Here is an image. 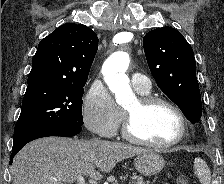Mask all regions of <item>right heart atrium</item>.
I'll return each mask as SVG.
<instances>
[{"instance_id": "right-heart-atrium-1", "label": "right heart atrium", "mask_w": 224, "mask_h": 184, "mask_svg": "<svg viewBox=\"0 0 224 184\" xmlns=\"http://www.w3.org/2000/svg\"><path fill=\"white\" fill-rule=\"evenodd\" d=\"M82 117L91 132L111 137L117 132L123 114L107 88L95 82L84 98Z\"/></svg>"}]
</instances>
